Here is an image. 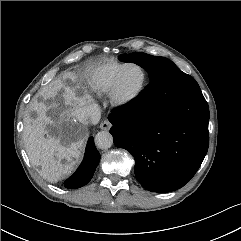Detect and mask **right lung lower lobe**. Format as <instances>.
<instances>
[{"instance_id":"right-lung-lower-lobe-1","label":"right lung lower lobe","mask_w":241,"mask_h":241,"mask_svg":"<svg viewBox=\"0 0 241 241\" xmlns=\"http://www.w3.org/2000/svg\"><path fill=\"white\" fill-rule=\"evenodd\" d=\"M100 161V153L96 149L93 137H90L86 146L84 159L76 172L64 182L66 188H80L91 180Z\"/></svg>"}]
</instances>
